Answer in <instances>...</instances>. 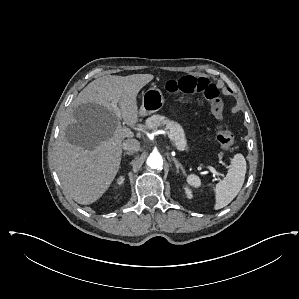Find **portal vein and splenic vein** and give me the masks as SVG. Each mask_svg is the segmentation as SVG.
Wrapping results in <instances>:
<instances>
[{
    "label": "portal vein and splenic vein",
    "instance_id": "1",
    "mask_svg": "<svg viewBox=\"0 0 299 299\" xmlns=\"http://www.w3.org/2000/svg\"><path fill=\"white\" fill-rule=\"evenodd\" d=\"M112 107L119 113V111H118V107H117V104H116V103H112ZM166 133H167L168 137L170 138V140L172 141V140H173L172 135H171L169 132H166ZM208 168L210 169V171H211L212 173L217 174L216 170H215L213 167L208 166Z\"/></svg>",
    "mask_w": 299,
    "mask_h": 299
}]
</instances>
